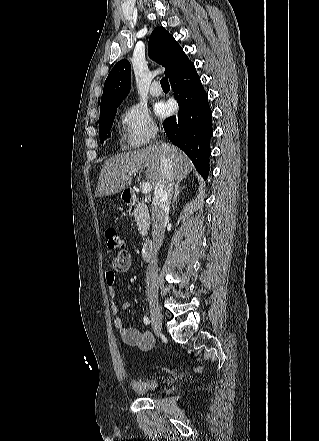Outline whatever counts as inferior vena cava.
Segmentation results:
<instances>
[{
  "mask_svg": "<svg viewBox=\"0 0 319 441\" xmlns=\"http://www.w3.org/2000/svg\"><path fill=\"white\" fill-rule=\"evenodd\" d=\"M161 149L164 154L161 156V179L158 187L154 192V199L152 204V238L154 248L158 251L164 240L165 222L168 218L169 206L173 194V171L172 159L167 156L171 151V146L163 143ZM158 273H157V259L154 258L148 265L146 270V284L147 295L149 297L158 296Z\"/></svg>",
  "mask_w": 319,
  "mask_h": 441,
  "instance_id": "1",
  "label": "inferior vena cava"
}]
</instances>
